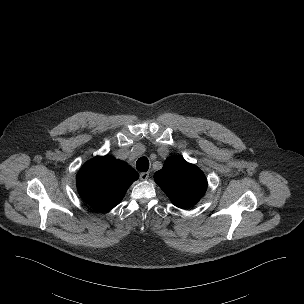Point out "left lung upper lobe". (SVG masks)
<instances>
[{
    "label": "left lung upper lobe",
    "mask_w": 304,
    "mask_h": 304,
    "mask_svg": "<svg viewBox=\"0 0 304 304\" xmlns=\"http://www.w3.org/2000/svg\"><path fill=\"white\" fill-rule=\"evenodd\" d=\"M154 180L179 208L195 205L207 189L203 172L177 156L165 160L163 168L155 173Z\"/></svg>",
    "instance_id": "5c2ea615"
}]
</instances>
